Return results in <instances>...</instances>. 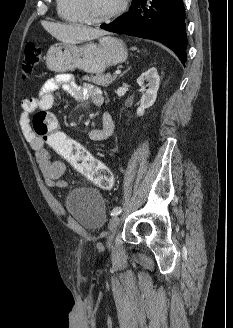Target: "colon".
I'll use <instances>...</instances> for the list:
<instances>
[{
  "label": "colon",
  "instance_id": "1",
  "mask_svg": "<svg viewBox=\"0 0 233 328\" xmlns=\"http://www.w3.org/2000/svg\"><path fill=\"white\" fill-rule=\"evenodd\" d=\"M40 59L41 48L33 43H28L24 50L23 72L25 74L33 72ZM32 124L35 135L85 177L101 189L110 190L113 188L114 177L111 170L90 154L81 144L62 132L53 113L44 110L37 111L33 115Z\"/></svg>",
  "mask_w": 233,
  "mask_h": 328
}]
</instances>
